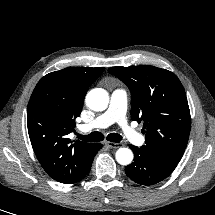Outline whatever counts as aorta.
I'll list each match as a JSON object with an SVG mask.
<instances>
[{
    "mask_svg": "<svg viewBox=\"0 0 215 215\" xmlns=\"http://www.w3.org/2000/svg\"><path fill=\"white\" fill-rule=\"evenodd\" d=\"M109 103L108 93L104 89L96 88L86 96L87 106L94 111H103ZM116 160L121 165H128L133 160V153L128 148H120L116 152Z\"/></svg>",
    "mask_w": 215,
    "mask_h": 215,
    "instance_id": "762f6f07",
    "label": "aorta"
}]
</instances>
